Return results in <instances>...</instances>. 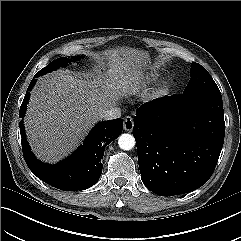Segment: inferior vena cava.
Wrapping results in <instances>:
<instances>
[{
	"label": "inferior vena cava",
	"mask_w": 241,
	"mask_h": 241,
	"mask_svg": "<svg viewBox=\"0 0 241 241\" xmlns=\"http://www.w3.org/2000/svg\"><path fill=\"white\" fill-rule=\"evenodd\" d=\"M121 116V109L119 107H111L109 109L103 110L100 113V118L104 120L116 119Z\"/></svg>",
	"instance_id": "1"
}]
</instances>
